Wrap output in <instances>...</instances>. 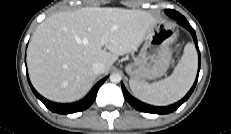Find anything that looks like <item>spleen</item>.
<instances>
[{"instance_id": "obj_1", "label": "spleen", "mask_w": 231, "mask_h": 134, "mask_svg": "<svg viewBox=\"0 0 231 134\" xmlns=\"http://www.w3.org/2000/svg\"><path fill=\"white\" fill-rule=\"evenodd\" d=\"M197 65L195 46L187 43L179 63L168 78L151 84L130 79L129 86L134 95L145 103L155 106L170 105L189 91L195 80Z\"/></svg>"}]
</instances>
